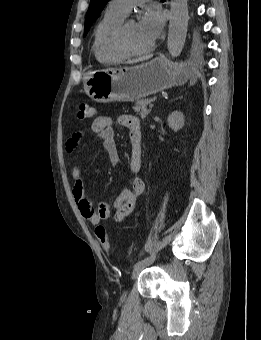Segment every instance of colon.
Masks as SVG:
<instances>
[{
    "mask_svg": "<svg viewBox=\"0 0 261 340\" xmlns=\"http://www.w3.org/2000/svg\"><path fill=\"white\" fill-rule=\"evenodd\" d=\"M96 113L95 107L82 103L78 107L77 117L79 119H88L94 117ZM95 234L102 248L109 251L112 248V244L105 227L103 225L96 226Z\"/></svg>",
    "mask_w": 261,
    "mask_h": 340,
    "instance_id": "1",
    "label": "colon"
}]
</instances>
